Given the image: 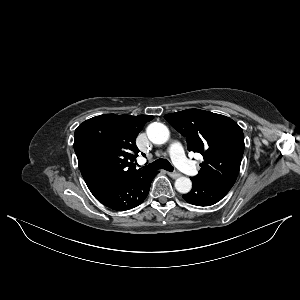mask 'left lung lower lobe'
<instances>
[{"label":"left lung lower lobe","instance_id":"1","mask_svg":"<svg viewBox=\"0 0 300 300\" xmlns=\"http://www.w3.org/2000/svg\"><path fill=\"white\" fill-rule=\"evenodd\" d=\"M192 190L182 197L190 204L197 206H210L220 201L229 190L211 184L203 183L191 177Z\"/></svg>","mask_w":300,"mask_h":300}]
</instances>
